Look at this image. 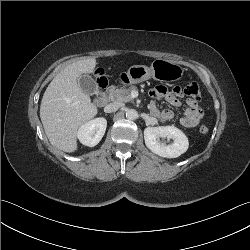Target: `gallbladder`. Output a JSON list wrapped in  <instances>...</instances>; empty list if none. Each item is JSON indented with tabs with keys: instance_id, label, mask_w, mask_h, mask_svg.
Instances as JSON below:
<instances>
[{
	"instance_id": "1",
	"label": "gallbladder",
	"mask_w": 250,
	"mask_h": 250,
	"mask_svg": "<svg viewBox=\"0 0 250 250\" xmlns=\"http://www.w3.org/2000/svg\"><path fill=\"white\" fill-rule=\"evenodd\" d=\"M78 82L82 90L88 95L98 93V85L91 76L84 74L80 77Z\"/></svg>"
}]
</instances>
